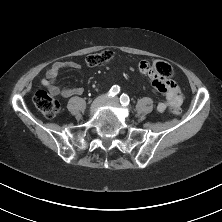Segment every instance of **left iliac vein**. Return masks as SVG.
Segmentation results:
<instances>
[{
	"mask_svg": "<svg viewBox=\"0 0 222 222\" xmlns=\"http://www.w3.org/2000/svg\"><path fill=\"white\" fill-rule=\"evenodd\" d=\"M107 104L112 105V106H115V107H119V100H118V98H116V97L110 98V99L107 101Z\"/></svg>",
	"mask_w": 222,
	"mask_h": 222,
	"instance_id": "left-iliac-vein-1",
	"label": "left iliac vein"
}]
</instances>
